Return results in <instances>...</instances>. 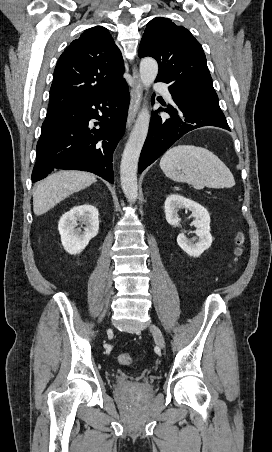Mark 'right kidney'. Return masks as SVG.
<instances>
[{
    "label": "right kidney",
    "mask_w": 272,
    "mask_h": 452,
    "mask_svg": "<svg viewBox=\"0 0 272 452\" xmlns=\"http://www.w3.org/2000/svg\"><path fill=\"white\" fill-rule=\"evenodd\" d=\"M99 213L96 207L90 204L75 206L64 213L59 220L58 230L64 249L73 255L81 253L99 231ZM77 222L86 227L75 228Z\"/></svg>",
    "instance_id": "obj_1"
}]
</instances>
